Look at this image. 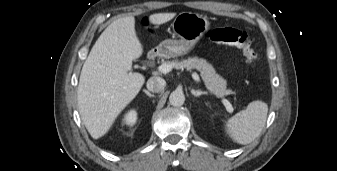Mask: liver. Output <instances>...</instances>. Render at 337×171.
Segmentation results:
<instances>
[{"instance_id":"liver-1","label":"liver","mask_w":337,"mask_h":171,"mask_svg":"<svg viewBox=\"0 0 337 171\" xmlns=\"http://www.w3.org/2000/svg\"><path fill=\"white\" fill-rule=\"evenodd\" d=\"M176 13H155L149 22L164 24ZM143 53L135 31V18L113 21L99 36L83 64L77 90L78 108L89 134L104 136L120 112L136 97L145 77L131 72Z\"/></svg>"}]
</instances>
